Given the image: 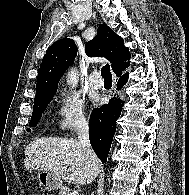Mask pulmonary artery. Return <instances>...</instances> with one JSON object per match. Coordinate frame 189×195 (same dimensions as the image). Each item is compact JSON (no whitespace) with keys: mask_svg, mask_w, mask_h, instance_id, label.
I'll return each instance as SVG.
<instances>
[{"mask_svg":"<svg viewBox=\"0 0 189 195\" xmlns=\"http://www.w3.org/2000/svg\"><path fill=\"white\" fill-rule=\"evenodd\" d=\"M89 84L93 89H100L103 86V79L98 71H93L89 75Z\"/></svg>","mask_w":189,"mask_h":195,"instance_id":"obj_1","label":"pulmonary artery"}]
</instances>
